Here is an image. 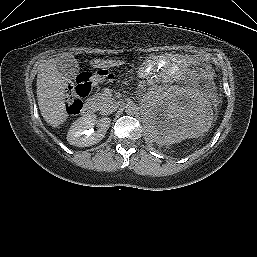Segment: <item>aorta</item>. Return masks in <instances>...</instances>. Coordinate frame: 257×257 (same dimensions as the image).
Segmentation results:
<instances>
[{
	"label": "aorta",
	"mask_w": 257,
	"mask_h": 257,
	"mask_svg": "<svg viewBox=\"0 0 257 257\" xmlns=\"http://www.w3.org/2000/svg\"><path fill=\"white\" fill-rule=\"evenodd\" d=\"M125 112L128 115L136 114L138 112V106L133 102H129L125 106Z\"/></svg>",
	"instance_id": "obj_1"
}]
</instances>
